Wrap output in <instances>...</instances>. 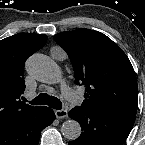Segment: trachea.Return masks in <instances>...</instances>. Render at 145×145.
<instances>
[{
	"label": "trachea",
	"mask_w": 145,
	"mask_h": 145,
	"mask_svg": "<svg viewBox=\"0 0 145 145\" xmlns=\"http://www.w3.org/2000/svg\"><path fill=\"white\" fill-rule=\"evenodd\" d=\"M30 103L32 105H48L49 107L57 110H60L62 108V103L58 98L49 96L46 93L39 94Z\"/></svg>",
	"instance_id": "3493384b"
}]
</instances>
